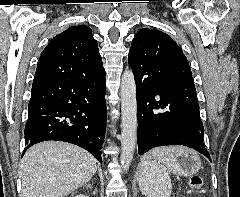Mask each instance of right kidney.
Instances as JSON below:
<instances>
[{"label": "right kidney", "mask_w": 240, "mask_h": 197, "mask_svg": "<svg viewBox=\"0 0 240 197\" xmlns=\"http://www.w3.org/2000/svg\"><path fill=\"white\" fill-rule=\"evenodd\" d=\"M74 197H88L87 195H83V194H79V195H76Z\"/></svg>", "instance_id": "obj_1"}]
</instances>
